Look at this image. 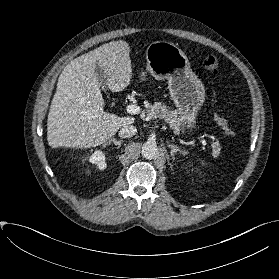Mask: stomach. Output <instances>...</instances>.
I'll list each match as a JSON object with an SVG mask.
<instances>
[{"instance_id": "stomach-1", "label": "stomach", "mask_w": 279, "mask_h": 279, "mask_svg": "<svg viewBox=\"0 0 279 279\" xmlns=\"http://www.w3.org/2000/svg\"><path fill=\"white\" fill-rule=\"evenodd\" d=\"M146 60V70L151 75L157 80H167L182 127L193 130L198 111L205 100V88L192 71L186 54L173 43L156 41L147 47Z\"/></svg>"}]
</instances>
